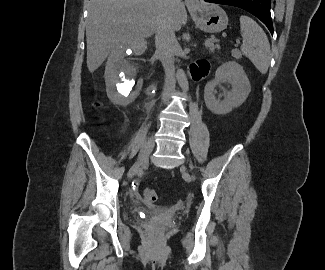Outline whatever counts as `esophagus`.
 Segmentation results:
<instances>
[{
  "label": "esophagus",
  "mask_w": 325,
  "mask_h": 270,
  "mask_svg": "<svg viewBox=\"0 0 325 270\" xmlns=\"http://www.w3.org/2000/svg\"><path fill=\"white\" fill-rule=\"evenodd\" d=\"M185 4L188 9H193L199 5V1L198 0H185Z\"/></svg>",
  "instance_id": "34e87169"
}]
</instances>
